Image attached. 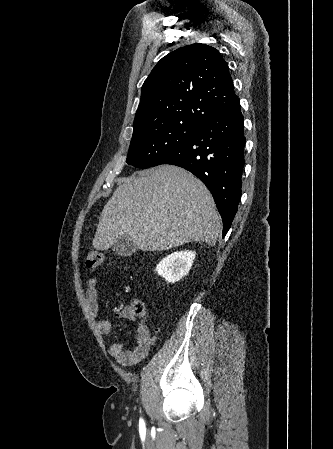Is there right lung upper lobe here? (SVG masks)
Wrapping results in <instances>:
<instances>
[{
    "mask_svg": "<svg viewBox=\"0 0 333 449\" xmlns=\"http://www.w3.org/2000/svg\"><path fill=\"white\" fill-rule=\"evenodd\" d=\"M239 103L228 65L206 44H192L163 57L141 89L133 137L161 125H203Z\"/></svg>",
    "mask_w": 333,
    "mask_h": 449,
    "instance_id": "right-lung-upper-lobe-1",
    "label": "right lung upper lobe"
}]
</instances>
